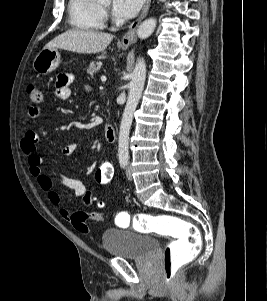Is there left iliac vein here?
Wrapping results in <instances>:
<instances>
[{"instance_id":"obj_1","label":"left iliac vein","mask_w":267,"mask_h":301,"mask_svg":"<svg viewBox=\"0 0 267 301\" xmlns=\"http://www.w3.org/2000/svg\"><path fill=\"white\" fill-rule=\"evenodd\" d=\"M126 175H127V179H128L129 181H132V180H133V177H132V171H131V168H130L129 166H128Z\"/></svg>"}]
</instances>
